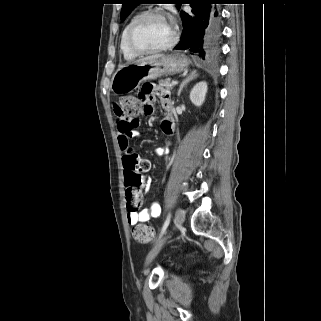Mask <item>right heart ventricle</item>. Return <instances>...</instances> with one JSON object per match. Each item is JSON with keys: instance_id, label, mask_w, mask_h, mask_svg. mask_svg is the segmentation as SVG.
Here are the masks:
<instances>
[{"instance_id": "1", "label": "right heart ventricle", "mask_w": 321, "mask_h": 321, "mask_svg": "<svg viewBox=\"0 0 321 321\" xmlns=\"http://www.w3.org/2000/svg\"><path fill=\"white\" fill-rule=\"evenodd\" d=\"M140 16V13H137L135 14L134 16H132L130 18V20L127 22V24L125 25L122 33H121V36H120V51L123 55V58L125 60H134L138 57L137 54L133 53L129 48H128V45H127V33H128V30L130 28V26L132 25V23Z\"/></svg>"}]
</instances>
